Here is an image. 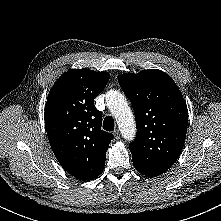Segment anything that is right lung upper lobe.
<instances>
[{"label": "right lung upper lobe", "instance_id": "1", "mask_svg": "<svg viewBox=\"0 0 221 221\" xmlns=\"http://www.w3.org/2000/svg\"><path fill=\"white\" fill-rule=\"evenodd\" d=\"M107 72L71 69L52 87L45 107V127L61 166L80 180L100 175L113 135L101 129L94 98L105 88Z\"/></svg>", "mask_w": 221, "mask_h": 221}]
</instances>
